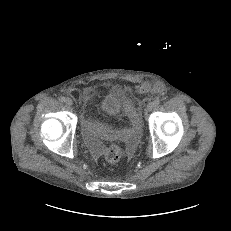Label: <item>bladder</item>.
<instances>
[{
	"label": "bladder",
	"instance_id": "obj_1",
	"mask_svg": "<svg viewBox=\"0 0 231 231\" xmlns=\"http://www.w3.org/2000/svg\"><path fill=\"white\" fill-rule=\"evenodd\" d=\"M123 108V101L113 93L105 94L98 103L99 112L106 117H117Z\"/></svg>",
	"mask_w": 231,
	"mask_h": 231
}]
</instances>
